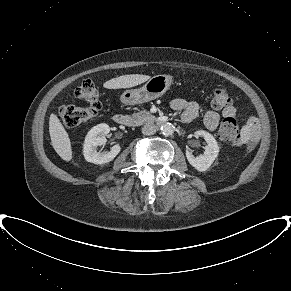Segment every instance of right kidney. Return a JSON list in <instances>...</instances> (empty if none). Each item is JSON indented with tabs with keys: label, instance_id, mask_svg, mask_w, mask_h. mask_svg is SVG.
Masks as SVG:
<instances>
[{
	"label": "right kidney",
	"instance_id": "obj_1",
	"mask_svg": "<svg viewBox=\"0 0 291 291\" xmlns=\"http://www.w3.org/2000/svg\"><path fill=\"white\" fill-rule=\"evenodd\" d=\"M110 132L109 125L102 123L93 127L87 134L83 146V155L86 161L94 164H105L112 161L120 152L121 147L117 144L109 152H97L96 148L106 142V135Z\"/></svg>",
	"mask_w": 291,
	"mask_h": 291
}]
</instances>
